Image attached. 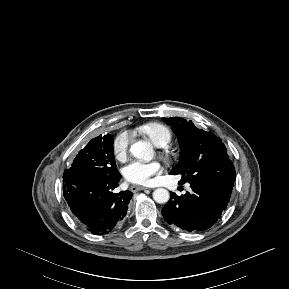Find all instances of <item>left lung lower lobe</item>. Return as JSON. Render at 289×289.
I'll return each instance as SVG.
<instances>
[{
    "label": "left lung lower lobe",
    "instance_id": "0a47b994",
    "mask_svg": "<svg viewBox=\"0 0 289 289\" xmlns=\"http://www.w3.org/2000/svg\"><path fill=\"white\" fill-rule=\"evenodd\" d=\"M190 187L191 193L171 194L162 209L163 217L168 224L189 232L208 229L221 218L231 194L202 185L191 184Z\"/></svg>",
    "mask_w": 289,
    "mask_h": 289
}]
</instances>
